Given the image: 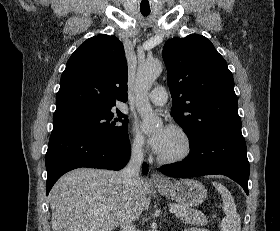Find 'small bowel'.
<instances>
[{"label": "small bowel", "instance_id": "c3829d8e", "mask_svg": "<svg viewBox=\"0 0 280 231\" xmlns=\"http://www.w3.org/2000/svg\"><path fill=\"white\" fill-rule=\"evenodd\" d=\"M186 231H200V230L197 228H189V229H186Z\"/></svg>", "mask_w": 280, "mask_h": 231}]
</instances>
